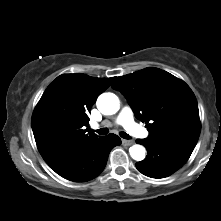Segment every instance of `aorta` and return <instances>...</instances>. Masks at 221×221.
<instances>
[{
    "label": "aorta",
    "mask_w": 221,
    "mask_h": 221,
    "mask_svg": "<svg viewBox=\"0 0 221 221\" xmlns=\"http://www.w3.org/2000/svg\"><path fill=\"white\" fill-rule=\"evenodd\" d=\"M120 102L113 93H103L97 99V108L104 115L115 114L119 110ZM130 156L136 161L145 158L146 150L142 145L135 144L129 148Z\"/></svg>",
    "instance_id": "obj_1"
}]
</instances>
